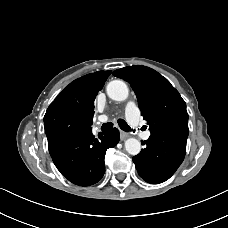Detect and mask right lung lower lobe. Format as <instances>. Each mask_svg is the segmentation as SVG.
I'll return each instance as SVG.
<instances>
[{"label":"right lung lower lobe","mask_w":228,"mask_h":228,"mask_svg":"<svg viewBox=\"0 0 228 228\" xmlns=\"http://www.w3.org/2000/svg\"><path fill=\"white\" fill-rule=\"evenodd\" d=\"M118 142L117 128L99 133L98 138L90 129L74 133L48 147L54 164L65 178L76 185L89 186L103 177L106 150Z\"/></svg>","instance_id":"obj_1"}]
</instances>
